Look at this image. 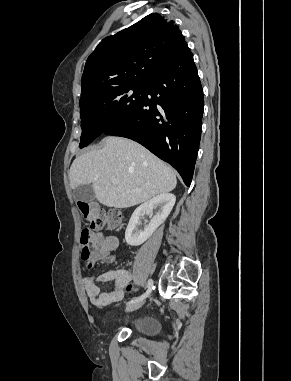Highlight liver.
Masks as SVG:
<instances>
[{
	"label": "liver",
	"instance_id": "liver-1",
	"mask_svg": "<svg viewBox=\"0 0 291 381\" xmlns=\"http://www.w3.org/2000/svg\"><path fill=\"white\" fill-rule=\"evenodd\" d=\"M103 143L73 161L72 189L92 184L102 205L128 208L176 187L174 171L142 145L121 137H106Z\"/></svg>",
	"mask_w": 291,
	"mask_h": 381
}]
</instances>
